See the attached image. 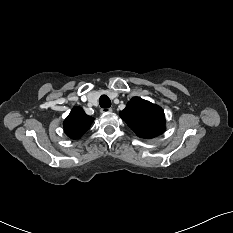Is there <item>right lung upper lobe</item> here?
<instances>
[{"mask_svg":"<svg viewBox=\"0 0 233 233\" xmlns=\"http://www.w3.org/2000/svg\"><path fill=\"white\" fill-rule=\"evenodd\" d=\"M93 118L80 107H74L64 120L65 133L72 139L80 138L91 126Z\"/></svg>","mask_w":233,"mask_h":233,"instance_id":"cb5924a9","label":"right lung upper lobe"}]
</instances>
